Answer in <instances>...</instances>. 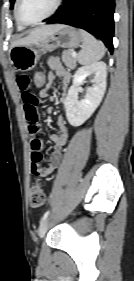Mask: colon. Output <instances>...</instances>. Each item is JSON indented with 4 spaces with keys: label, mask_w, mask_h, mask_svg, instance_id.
Segmentation results:
<instances>
[{
    "label": "colon",
    "mask_w": 134,
    "mask_h": 281,
    "mask_svg": "<svg viewBox=\"0 0 134 281\" xmlns=\"http://www.w3.org/2000/svg\"><path fill=\"white\" fill-rule=\"evenodd\" d=\"M34 85L44 89L47 84V75L43 71H37L33 77ZM46 204V193L41 184L36 183L31 189V205L35 208L43 207Z\"/></svg>",
    "instance_id": "obj_1"
}]
</instances>
